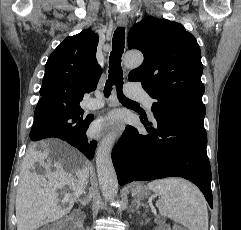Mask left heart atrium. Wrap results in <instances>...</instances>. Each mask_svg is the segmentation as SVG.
Masks as SVG:
<instances>
[{
  "label": "left heart atrium",
  "mask_w": 241,
  "mask_h": 230,
  "mask_svg": "<svg viewBox=\"0 0 241 230\" xmlns=\"http://www.w3.org/2000/svg\"><path fill=\"white\" fill-rule=\"evenodd\" d=\"M113 121V115L96 120L90 127L91 135L94 137L100 136L113 123Z\"/></svg>",
  "instance_id": "obj_1"
}]
</instances>
